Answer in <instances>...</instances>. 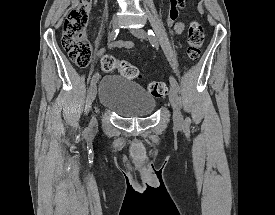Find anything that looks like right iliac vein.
<instances>
[{
	"instance_id": "right-iliac-vein-1",
	"label": "right iliac vein",
	"mask_w": 275,
	"mask_h": 215,
	"mask_svg": "<svg viewBox=\"0 0 275 215\" xmlns=\"http://www.w3.org/2000/svg\"><path fill=\"white\" fill-rule=\"evenodd\" d=\"M119 19L118 18H114L112 21V26L113 28H117L119 26ZM96 82L95 81L90 88V92H89V97H90V101L93 102L96 98V94H97V86H96ZM92 123L96 124V118L95 116L92 117Z\"/></svg>"
}]
</instances>
